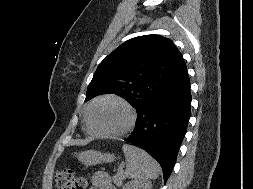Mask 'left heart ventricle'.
Returning a JSON list of instances; mask_svg holds the SVG:
<instances>
[{
  "mask_svg": "<svg viewBox=\"0 0 253 189\" xmlns=\"http://www.w3.org/2000/svg\"><path fill=\"white\" fill-rule=\"evenodd\" d=\"M92 124L100 132H115L126 126L128 111L120 103L112 100L97 104L91 115Z\"/></svg>",
  "mask_w": 253,
  "mask_h": 189,
  "instance_id": "1",
  "label": "left heart ventricle"
}]
</instances>
